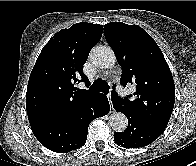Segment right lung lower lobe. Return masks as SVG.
<instances>
[{
  "instance_id": "1",
  "label": "right lung lower lobe",
  "mask_w": 196,
  "mask_h": 166,
  "mask_svg": "<svg viewBox=\"0 0 196 166\" xmlns=\"http://www.w3.org/2000/svg\"><path fill=\"white\" fill-rule=\"evenodd\" d=\"M109 110L107 97L100 94L83 105L74 116L63 121L32 128V132L47 149L66 153L83 146L87 139L90 122L108 114Z\"/></svg>"
}]
</instances>
